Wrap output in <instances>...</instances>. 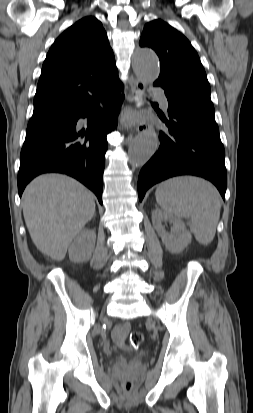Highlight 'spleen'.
Masks as SVG:
<instances>
[{"mask_svg":"<svg viewBox=\"0 0 253 413\" xmlns=\"http://www.w3.org/2000/svg\"><path fill=\"white\" fill-rule=\"evenodd\" d=\"M158 205L168 214L190 218V230L202 245L214 239L220 217L221 198L208 181L180 176L162 182L156 189Z\"/></svg>","mask_w":253,"mask_h":413,"instance_id":"3e777b00","label":"spleen"}]
</instances>
